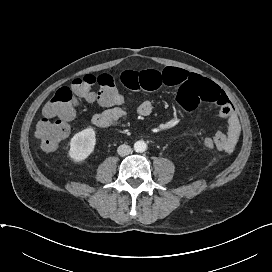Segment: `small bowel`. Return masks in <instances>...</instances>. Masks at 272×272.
<instances>
[{"label": "small bowel", "instance_id": "c3829d8e", "mask_svg": "<svg viewBox=\"0 0 272 272\" xmlns=\"http://www.w3.org/2000/svg\"><path fill=\"white\" fill-rule=\"evenodd\" d=\"M121 84L130 90L154 91L161 87H178L177 101L186 112L195 110L200 103H213L219 108V117L226 122V127L217 131L212 138L215 148L225 153H232L239 140L240 120L227 95L212 81L183 69L168 67L163 70H127L120 76ZM153 111L150 101H143L137 106V113L142 117ZM127 109L113 106L93 116L92 123L101 129L108 128L124 118Z\"/></svg>", "mask_w": 272, "mask_h": 272}]
</instances>
